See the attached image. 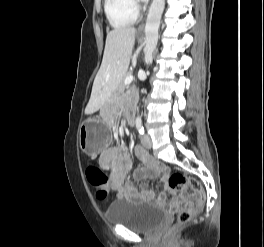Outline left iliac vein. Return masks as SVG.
Listing matches in <instances>:
<instances>
[{
	"mask_svg": "<svg viewBox=\"0 0 264 247\" xmlns=\"http://www.w3.org/2000/svg\"><path fill=\"white\" fill-rule=\"evenodd\" d=\"M141 142H142V145L147 148V149H151L152 147V142H151V138L149 135L147 134H144L142 135L141 137Z\"/></svg>",
	"mask_w": 264,
	"mask_h": 247,
	"instance_id": "obj_1",
	"label": "left iliac vein"
}]
</instances>
